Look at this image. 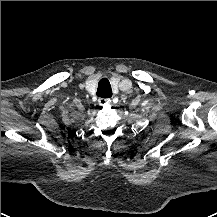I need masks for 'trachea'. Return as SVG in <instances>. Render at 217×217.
<instances>
[{
	"mask_svg": "<svg viewBox=\"0 0 217 217\" xmlns=\"http://www.w3.org/2000/svg\"><path fill=\"white\" fill-rule=\"evenodd\" d=\"M96 94L102 98H110L112 96L111 85L107 78H102L99 81Z\"/></svg>",
	"mask_w": 217,
	"mask_h": 217,
	"instance_id": "1",
	"label": "trachea"
}]
</instances>
